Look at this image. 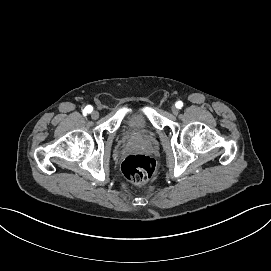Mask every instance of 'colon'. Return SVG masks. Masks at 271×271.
<instances>
[{
    "label": "colon",
    "mask_w": 271,
    "mask_h": 271,
    "mask_svg": "<svg viewBox=\"0 0 271 271\" xmlns=\"http://www.w3.org/2000/svg\"><path fill=\"white\" fill-rule=\"evenodd\" d=\"M155 161L146 155H129L122 162L124 176L133 183H143L155 173Z\"/></svg>",
    "instance_id": "1"
}]
</instances>
